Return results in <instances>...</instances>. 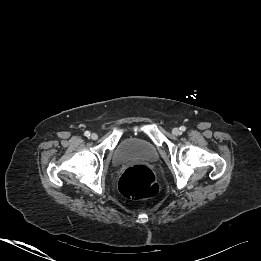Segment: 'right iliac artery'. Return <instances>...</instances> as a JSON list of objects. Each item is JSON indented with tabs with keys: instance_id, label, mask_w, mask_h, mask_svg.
I'll return each instance as SVG.
<instances>
[{
	"instance_id": "obj_1",
	"label": "right iliac artery",
	"mask_w": 261,
	"mask_h": 261,
	"mask_svg": "<svg viewBox=\"0 0 261 261\" xmlns=\"http://www.w3.org/2000/svg\"><path fill=\"white\" fill-rule=\"evenodd\" d=\"M84 135H85L86 137H89V136H90V132H89V131H86V132L84 133Z\"/></svg>"
}]
</instances>
